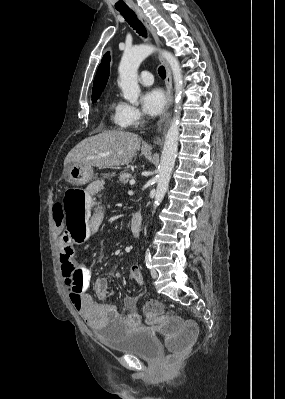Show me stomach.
<instances>
[{"mask_svg": "<svg viewBox=\"0 0 285 399\" xmlns=\"http://www.w3.org/2000/svg\"><path fill=\"white\" fill-rule=\"evenodd\" d=\"M66 180L73 185H84L93 178L92 167L69 164L63 171Z\"/></svg>", "mask_w": 285, "mask_h": 399, "instance_id": "obj_1", "label": "stomach"}]
</instances>
